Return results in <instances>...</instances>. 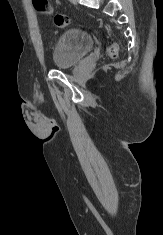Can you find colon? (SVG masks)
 Wrapping results in <instances>:
<instances>
[{"label":"colon","mask_w":163,"mask_h":235,"mask_svg":"<svg viewBox=\"0 0 163 235\" xmlns=\"http://www.w3.org/2000/svg\"><path fill=\"white\" fill-rule=\"evenodd\" d=\"M32 3L35 10L40 14L52 15L53 22L58 28H64L69 25V17L61 13H54V10L49 4L48 0H32ZM117 51L118 47L115 43H112L108 48V54L112 57L116 56Z\"/></svg>","instance_id":"colon-1"}]
</instances>
